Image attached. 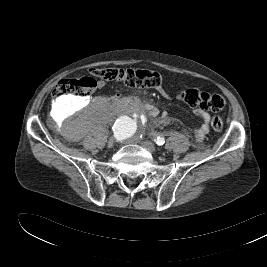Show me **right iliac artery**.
<instances>
[{
	"label": "right iliac artery",
	"instance_id": "1",
	"mask_svg": "<svg viewBox=\"0 0 267 267\" xmlns=\"http://www.w3.org/2000/svg\"><path fill=\"white\" fill-rule=\"evenodd\" d=\"M121 123H119V124H115V129L113 128V130L115 131L114 133V135H115V137H116V139H118V140H120V139H122V137L124 136V128H123V126L122 125H120Z\"/></svg>",
	"mask_w": 267,
	"mask_h": 267
}]
</instances>
